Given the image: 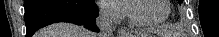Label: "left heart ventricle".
Masks as SVG:
<instances>
[{"label": "left heart ventricle", "mask_w": 219, "mask_h": 37, "mask_svg": "<svg viewBox=\"0 0 219 37\" xmlns=\"http://www.w3.org/2000/svg\"><path fill=\"white\" fill-rule=\"evenodd\" d=\"M132 10L136 18L144 21L158 20L166 13L162 0L137 1L133 3Z\"/></svg>", "instance_id": "1"}]
</instances>
